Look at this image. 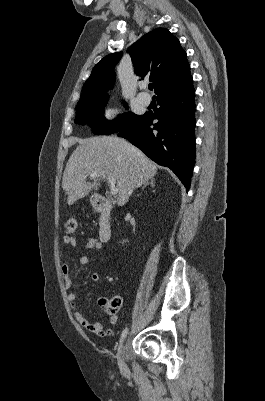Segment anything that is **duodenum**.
I'll return each instance as SVG.
<instances>
[{"mask_svg": "<svg viewBox=\"0 0 265 401\" xmlns=\"http://www.w3.org/2000/svg\"><path fill=\"white\" fill-rule=\"evenodd\" d=\"M93 207L99 213L98 235L101 242H108L112 236L111 227V203L102 196H97L93 200Z\"/></svg>", "mask_w": 265, "mask_h": 401, "instance_id": "410a0bca", "label": "duodenum"}]
</instances>
